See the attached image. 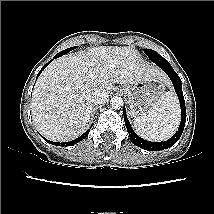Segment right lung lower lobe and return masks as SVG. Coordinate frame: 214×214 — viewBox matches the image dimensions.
I'll use <instances>...</instances> for the list:
<instances>
[{
    "instance_id": "1",
    "label": "right lung lower lobe",
    "mask_w": 214,
    "mask_h": 214,
    "mask_svg": "<svg viewBox=\"0 0 214 214\" xmlns=\"http://www.w3.org/2000/svg\"><path fill=\"white\" fill-rule=\"evenodd\" d=\"M58 57H60V56H57V55H56L54 58H58ZM51 61H52V60H50V61L40 70V72H39L38 75H37V78H38V76L40 75V73L44 70V68H45ZM88 134H89V130H87L83 135H81V136L78 137L77 139L72 140V141H69V142H64V143L52 142V141H49V140L45 139L44 137H43V138L45 139V141H47V142H49L50 144H53V145H57V146H72V145H74V144L80 142V141L83 140L84 138H86V137L88 136Z\"/></svg>"
}]
</instances>
